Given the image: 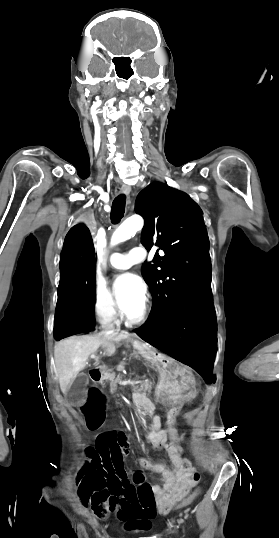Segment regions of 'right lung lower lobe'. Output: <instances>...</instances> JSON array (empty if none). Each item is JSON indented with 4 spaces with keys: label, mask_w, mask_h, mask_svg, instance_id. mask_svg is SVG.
Segmentation results:
<instances>
[{
    "label": "right lung lower lobe",
    "mask_w": 279,
    "mask_h": 538,
    "mask_svg": "<svg viewBox=\"0 0 279 538\" xmlns=\"http://www.w3.org/2000/svg\"><path fill=\"white\" fill-rule=\"evenodd\" d=\"M95 258L89 229L78 224L67 233L60 256V283L54 338L95 329Z\"/></svg>",
    "instance_id": "right-lung-lower-lobe-1"
}]
</instances>
